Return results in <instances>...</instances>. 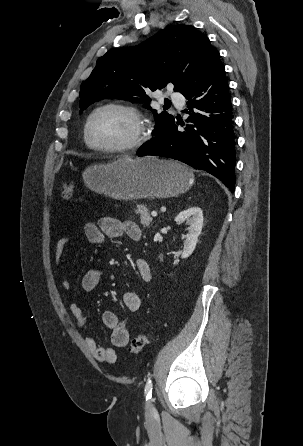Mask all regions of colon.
Wrapping results in <instances>:
<instances>
[{
    "label": "colon",
    "instance_id": "obj_1",
    "mask_svg": "<svg viewBox=\"0 0 303 446\" xmlns=\"http://www.w3.org/2000/svg\"><path fill=\"white\" fill-rule=\"evenodd\" d=\"M73 195H74L73 184H71L70 182H64L62 184V188H61V197L64 200L69 201L72 199ZM147 341H148V337L145 333H143V332L138 333L130 341V344L128 345V352L131 355H137L145 347V345L147 344Z\"/></svg>",
    "mask_w": 303,
    "mask_h": 446
}]
</instances>
